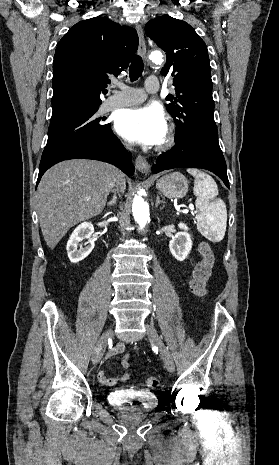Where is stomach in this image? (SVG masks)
<instances>
[{
  "instance_id": "stomach-1",
  "label": "stomach",
  "mask_w": 279,
  "mask_h": 465,
  "mask_svg": "<svg viewBox=\"0 0 279 465\" xmlns=\"http://www.w3.org/2000/svg\"><path fill=\"white\" fill-rule=\"evenodd\" d=\"M156 187L168 198H183L188 191V182L183 174L174 172L161 177Z\"/></svg>"
}]
</instances>
